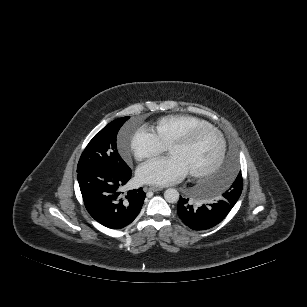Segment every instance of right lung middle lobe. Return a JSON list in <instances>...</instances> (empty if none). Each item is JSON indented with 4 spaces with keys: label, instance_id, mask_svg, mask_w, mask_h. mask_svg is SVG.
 Masks as SVG:
<instances>
[{
    "label": "right lung middle lobe",
    "instance_id": "obj_1",
    "mask_svg": "<svg viewBox=\"0 0 307 307\" xmlns=\"http://www.w3.org/2000/svg\"><path fill=\"white\" fill-rule=\"evenodd\" d=\"M129 118L127 116L112 121L92 138L80 157L78 173L90 169L122 173L130 169L120 157L116 146L118 131Z\"/></svg>",
    "mask_w": 307,
    "mask_h": 307
}]
</instances>
